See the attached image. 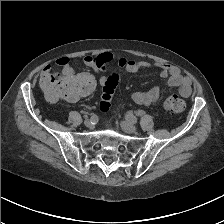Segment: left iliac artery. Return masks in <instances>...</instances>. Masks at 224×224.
<instances>
[{"instance_id":"obj_1","label":"left iliac artery","mask_w":224,"mask_h":224,"mask_svg":"<svg viewBox=\"0 0 224 224\" xmlns=\"http://www.w3.org/2000/svg\"><path fill=\"white\" fill-rule=\"evenodd\" d=\"M126 119L132 123H137V118L131 113L126 115Z\"/></svg>"}]
</instances>
